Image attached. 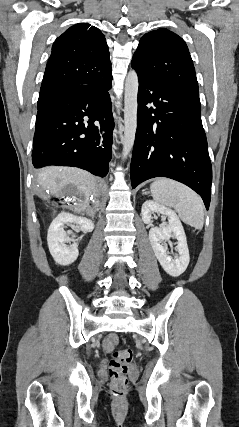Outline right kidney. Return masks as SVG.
Masks as SVG:
<instances>
[{"label": "right kidney", "mask_w": 239, "mask_h": 427, "mask_svg": "<svg viewBox=\"0 0 239 427\" xmlns=\"http://www.w3.org/2000/svg\"><path fill=\"white\" fill-rule=\"evenodd\" d=\"M69 223L78 225L84 232L94 229V223L90 219L65 212L52 221L47 235L49 251L55 262L64 266L73 263L79 255L78 244L64 230V225ZM70 241L73 244L66 245Z\"/></svg>", "instance_id": "obj_1"}]
</instances>
